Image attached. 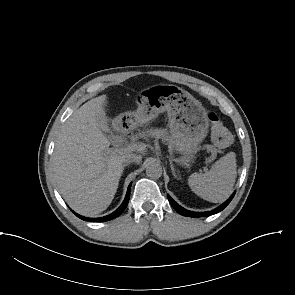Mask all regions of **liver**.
Wrapping results in <instances>:
<instances>
[{
  "label": "liver",
  "mask_w": 295,
  "mask_h": 295,
  "mask_svg": "<svg viewBox=\"0 0 295 295\" xmlns=\"http://www.w3.org/2000/svg\"><path fill=\"white\" fill-rule=\"evenodd\" d=\"M107 96L93 98L67 119L52 155L59 192L77 213L93 216L107 209L123 173V158L109 149L104 106ZM117 129V128H115ZM146 151L145 145L137 150Z\"/></svg>",
  "instance_id": "obj_1"
}]
</instances>
